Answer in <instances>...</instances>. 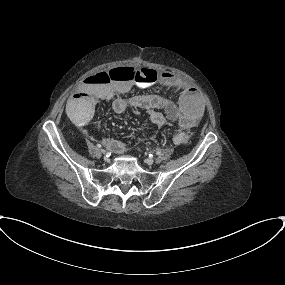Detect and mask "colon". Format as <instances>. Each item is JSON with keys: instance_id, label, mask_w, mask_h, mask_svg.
<instances>
[{"instance_id": "5ec220e1", "label": "colon", "mask_w": 285, "mask_h": 285, "mask_svg": "<svg viewBox=\"0 0 285 285\" xmlns=\"http://www.w3.org/2000/svg\"><path fill=\"white\" fill-rule=\"evenodd\" d=\"M93 74L89 75L88 78L92 77ZM141 75V76H140ZM145 75V78L142 77ZM109 76L114 79H120L124 82L137 83L139 81L151 82L158 78V73L155 70H148L142 68L125 67L121 69H113L110 71ZM97 81L102 84H107L109 79L105 75H100L97 77ZM178 140L180 142H187V137L185 134H178Z\"/></svg>"}]
</instances>
